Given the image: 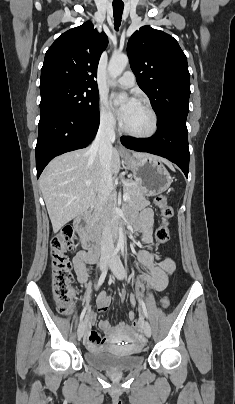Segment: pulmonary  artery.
<instances>
[{
	"label": "pulmonary artery",
	"instance_id": "obj_1",
	"mask_svg": "<svg viewBox=\"0 0 235 404\" xmlns=\"http://www.w3.org/2000/svg\"><path fill=\"white\" fill-rule=\"evenodd\" d=\"M116 83L123 88H130L135 84V76L131 71H126L116 80Z\"/></svg>",
	"mask_w": 235,
	"mask_h": 404
}]
</instances>
